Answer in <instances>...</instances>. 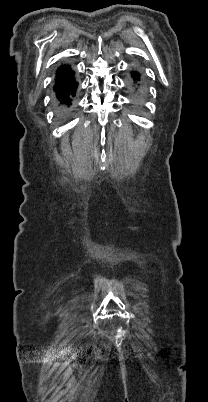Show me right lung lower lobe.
<instances>
[{"instance_id":"98d812e1","label":"right lung lower lobe","mask_w":208,"mask_h":402,"mask_svg":"<svg viewBox=\"0 0 208 402\" xmlns=\"http://www.w3.org/2000/svg\"><path fill=\"white\" fill-rule=\"evenodd\" d=\"M77 86L74 71L68 65L60 66L56 72L53 87L54 103L60 112L71 110Z\"/></svg>"}]
</instances>
